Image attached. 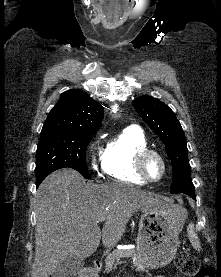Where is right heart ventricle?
<instances>
[{
	"instance_id": "1",
	"label": "right heart ventricle",
	"mask_w": 221,
	"mask_h": 277,
	"mask_svg": "<svg viewBox=\"0 0 221 277\" xmlns=\"http://www.w3.org/2000/svg\"><path fill=\"white\" fill-rule=\"evenodd\" d=\"M147 148L148 140L140 128H126L111 138L105 146L102 155L104 173L119 182L144 184L145 181L136 172L135 159L140 151Z\"/></svg>"
}]
</instances>
